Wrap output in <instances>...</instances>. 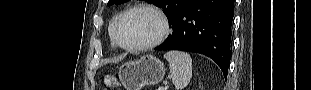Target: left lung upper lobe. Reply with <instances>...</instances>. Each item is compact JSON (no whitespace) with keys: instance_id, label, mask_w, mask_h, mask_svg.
<instances>
[{"instance_id":"5c2ea615","label":"left lung upper lobe","mask_w":311,"mask_h":90,"mask_svg":"<svg viewBox=\"0 0 311 90\" xmlns=\"http://www.w3.org/2000/svg\"><path fill=\"white\" fill-rule=\"evenodd\" d=\"M125 0H109L108 6L124 2ZM193 0H150L157 7L162 8L163 12L172 21V25L176 22L179 15Z\"/></svg>"}]
</instances>
